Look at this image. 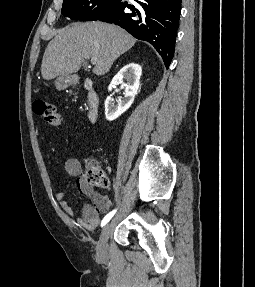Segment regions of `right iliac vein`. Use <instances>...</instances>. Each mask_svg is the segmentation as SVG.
Segmentation results:
<instances>
[{"instance_id": "1", "label": "right iliac vein", "mask_w": 255, "mask_h": 287, "mask_svg": "<svg viewBox=\"0 0 255 287\" xmlns=\"http://www.w3.org/2000/svg\"><path fill=\"white\" fill-rule=\"evenodd\" d=\"M111 234V224L108 223L104 226L99 242L96 247L97 257L101 261H105L108 256V239Z\"/></svg>"}]
</instances>
